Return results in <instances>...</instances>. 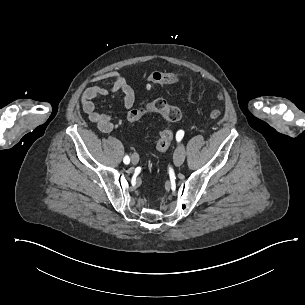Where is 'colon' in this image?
<instances>
[{
  "label": "colon",
  "mask_w": 305,
  "mask_h": 305,
  "mask_svg": "<svg viewBox=\"0 0 305 305\" xmlns=\"http://www.w3.org/2000/svg\"><path fill=\"white\" fill-rule=\"evenodd\" d=\"M178 83L181 86L185 85L187 88L192 86V82L190 80L182 78L180 74H174L172 71H167L165 74L151 71L147 79L143 81L145 86L152 84L154 87L164 85L174 86ZM147 113H160L167 123H175L181 117V112L177 107L170 105L166 100L156 99L140 108L130 110L126 115V120L129 123H136ZM220 115L221 111L215 108L210 112V116L214 119L220 117ZM172 143L173 132L171 130L166 129L158 132V138L155 146L158 152L166 151L172 145Z\"/></svg>",
  "instance_id": "1"
}]
</instances>
